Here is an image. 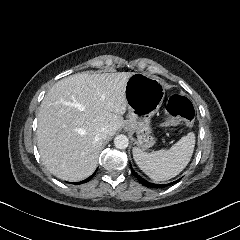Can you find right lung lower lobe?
Masks as SVG:
<instances>
[{
	"label": "right lung lower lobe",
	"instance_id": "right-lung-lower-lobe-1",
	"mask_svg": "<svg viewBox=\"0 0 240 240\" xmlns=\"http://www.w3.org/2000/svg\"><path fill=\"white\" fill-rule=\"evenodd\" d=\"M94 174H95V173H94ZM94 174L91 175V176H90L89 178H87L86 180L79 182L78 184H82V183L88 182V181L94 176Z\"/></svg>",
	"mask_w": 240,
	"mask_h": 240
}]
</instances>
